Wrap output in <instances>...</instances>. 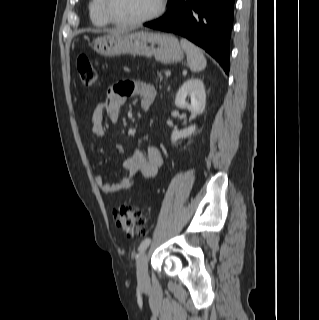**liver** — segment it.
Listing matches in <instances>:
<instances>
[{"label": "liver", "mask_w": 319, "mask_h": 320, "mask_svg": "<svg viewBox=\"0 0 319 320\" xmlns=\"http://www.w3.org/2000/svg\"><path fill=\"white\" fill-rule=\"evenodd\" d=\"M129 30L127 29H115L111 31V34H115V33H122V32H127Z\"/></svg>", "instance_id": "6515ba94"}]
</instances>
